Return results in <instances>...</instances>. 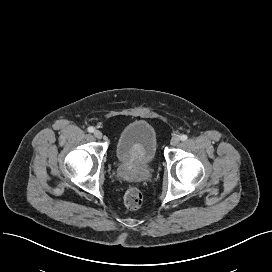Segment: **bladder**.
<instances>
[{
  "instance_id": "obj_1",
  "label": "bladder",
  "mask_w": 272,
  "mask_h": 272,
  "mask_svg": "<svg viewBox=\"0 0 272 272\" xmlns=\"http://www.w3.org/2000/svg\"><path fill=\"white\" fill-rule=\"evenodd\" d=\"M158 137L154 127L146 120L138 119L127 124L120 132L115 154L119 162L145 166L157 152Z\"/></svg>"
}]
</instances>
